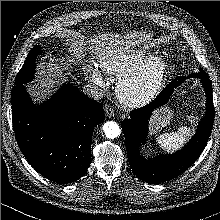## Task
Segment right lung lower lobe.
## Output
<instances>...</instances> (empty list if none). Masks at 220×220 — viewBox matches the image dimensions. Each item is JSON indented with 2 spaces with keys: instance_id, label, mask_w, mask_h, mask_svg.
<instances>
[{
  "instance_id": "right-lung-lower-lobe-1",
  "label": "right lung lower lobe",
  "mask_w": 220,
  "mask_h": 220,
  "mask_svg": "<svg viewBox=\"0 0 220 220\" xmlns=\"http://www.w3.org/2000/svg\"><path fill=\"white\" fill-rule=\"evenodd\" d=\"M11 104L17 143L28 162L59 184L80 179L91 162L94 128L104 121L102 105L69 84L41 105L17 84Z\"/></svg>"
}]
</instances>
